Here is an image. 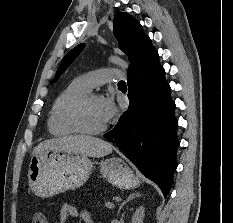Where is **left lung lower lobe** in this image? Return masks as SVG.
<instances>
[{
  "label": "left lung lower lobe",
  "mask_w": 233,
  "mask_h": 223,
  "mask_svg": "<svg viewBox=\"0 0 233 223\" xmlns=\"http://www.w3.org/2000/svg\"><path fill=\"white\" fill-rule=\"evenodd\" d=\"M130 105L104 138L115 142L149 179L168 194L177 167L175 103L157 51L150 44L128 71Z\"/></svg>",
  "instance_id": "left-lung-lower-lobe-1"
}]
</instances>
